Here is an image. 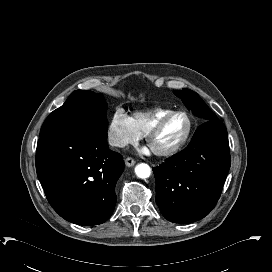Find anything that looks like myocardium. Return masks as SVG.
<instances>
[{
	"label": "myocardium",
	"mask_w": 272,
	"mask_h": 272,
	"mask_svg": "<svg viewBox=\"0 0 272 272\" xmlns=\"http://www.w3.org/2000/svg\"><path fill=\"white\" fill-rule=\"evenodd\" d=\"M182 115L187 120V130L185 133V136L183 137L182 141L174 146L173 148L166 149V150H160V151H154V153L157 156L160 157H169L176 153H178L189 141L192 131H193V121L190 117V115L182 110H175L171 111L163 116H161L155 123H153L145 132L147 143L150 145L151 139L156 136L164 127V125L174 116Z\"/></svg>",
	"instance_id": "f54148a6"
}]
</instances>
